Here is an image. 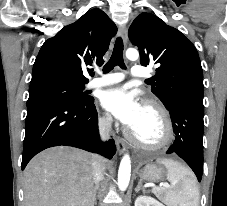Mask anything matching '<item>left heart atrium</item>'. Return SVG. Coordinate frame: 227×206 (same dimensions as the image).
Wrapping results in <instances>:
<instances>
[{
	"mask_svg": "<svg viewBox=\"0 0 227 206\" xmlns=\"http://www.w3.org/2000/svg\"><path fill=\"white\" fill-rule=\"evenodd\" d=\"M101 104L131 130L138 123L144 108L135 95L123 86L105 90Z\"/></svg>",
	"mask_w": 227,
	"mask_h": 206,
	"instance_id": "1",
	"label": "left heart atrium"
}]
</instances>
